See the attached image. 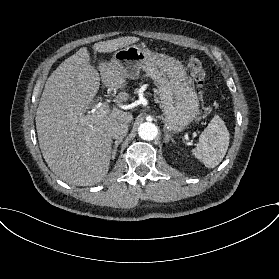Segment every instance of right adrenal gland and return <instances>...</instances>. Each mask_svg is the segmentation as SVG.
Here are the masks:
<instances>
[{
	"mask_svg": "<svg viewBox=\"0 0 279 279\" xmlns=\"http://www.w3.org/2000/svg\"><path fill=\"white\" fill-rule=\"evenodd\" d=\"M122 142V139L116 140L115 144L113 146V149L111 150V154H112V159H115L116 153H117V148L119 146V144Z\"/></svg>",
	"mask_w": 279,
	"mask_h": 279,
	"instance_id": "1",
	"label": "right adrenal gland"
}]
</instances>
